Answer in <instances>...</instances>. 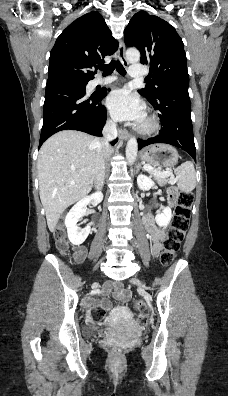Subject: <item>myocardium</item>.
<instances>
[{"label": "myocardium", "mask_w": 228, "mask_h": 396, "mask_svg": "<svg viewBox=\"0 0 228 396\" xmlns=\"http://www.w3.org/2000/svg\"><path fill=\"white\" fill-rule=\"evenodd\" d=\"M160 123L153 114L146 115L143 122L138 126L137 131L142 135H150L158 131Z\"/></svg>", "instance_id": "myocardium-1"}]
</instances>
